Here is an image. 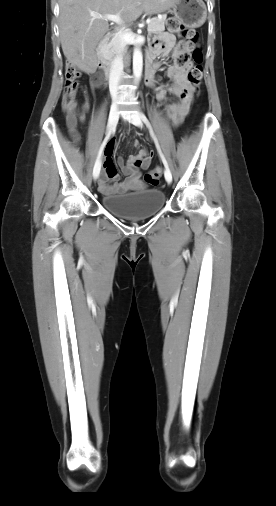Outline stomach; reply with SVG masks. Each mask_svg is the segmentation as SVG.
Wrapping results in <instances>:
<instances>
[{
	"label": "stomach",
	"mask_w": 276,
	"mask_h": 506,
	"mask_svg": "<svg viewBox=\"0 0 276 506\" xmlns=\"http://www.w3.org/2000/svg\"><path fill=\"white\" fill-rule=\"evenodd\" d=\"M170 11L180 23L188 27L201 26L207 17L203 0H177Z\"/></svg>",
	"instance_id": "stomach-1"
}]
</instances>
